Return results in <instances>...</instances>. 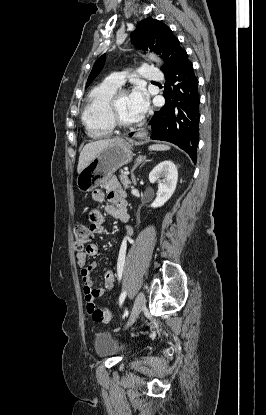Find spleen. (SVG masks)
<instances>
[{"label":"spleen","mask_w":266,"mask_h":415,"mask_svg":"<svg viewBox=\"0 0 266 415\" xmlns=\"http://www.w3.org/2000/svg\"><path fill=\"white\" fill-rule=\"evenodd\" d=\"M170 147L168 145H164V144H155V145H151L149 147V150H154V151H165V150H169Z\"/></svg>","instance_id":"spleen-1"}]
</instances>
